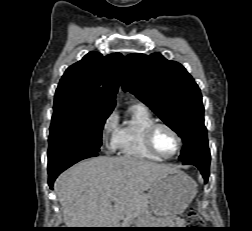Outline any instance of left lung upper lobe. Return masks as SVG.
<instances>
[{
  "label": "left lung upper lobe",
  "mask_w": 252,
  "mask_h": 231,
  "mask_svg": "<svg viewBox=\"0 0 252 231\" xmlns=\"http://www.w3.org/2000/svg\"><path fill=\"white\" fill-rule=\"evenodd\" d=\"M121 83L183 138L182 162L210 156L201 92L180 63L159 53L129 54Z\"/></svg>",
  "instance_id": "left-lung-upper-lobe-1"
}]
</instances>
